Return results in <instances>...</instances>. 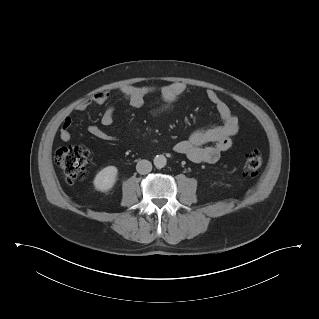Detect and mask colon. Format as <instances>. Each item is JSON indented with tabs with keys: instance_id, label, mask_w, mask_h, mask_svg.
<instances>
[{
	"instance_id": "colon-1",
	"label": "colon",
	"mask_w": 319,
	"mask_h": 319,
	"mask_svg": "<svg viewBox=\"0 0 319 319\" xmlns=\"http://www.w3.org/2000/svg\"><path fill=\"white\" fill-rule=\"evenodd\" d=\"M55 159L67 181H81L87 176L90 154L85 147H62L57 151ZM262 165V154L258 149H254L245 156L243 170L248 174L256 173Z\"/></svg>"
}]
</instances>
